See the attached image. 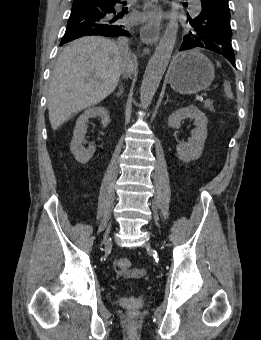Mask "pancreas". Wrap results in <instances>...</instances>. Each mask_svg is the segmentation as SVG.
<instances>
[{
  "mask_svg": "<svg viewBox=\"0 0 261 340\" xmlns=\"http://www.w3.org/2000/svg\"><path fill=\"white\" fill-rule=\"evenodd\" d=\"M204 106L206 108H208L210 111H214L212 100H209V99L205 100L204 101Z\"/></svg>",
  "mask_w": 261,
  "mask_h": 340,
  "instance_id": "cf45deb5",
  "label": "pancreas"
}]
</instances>
